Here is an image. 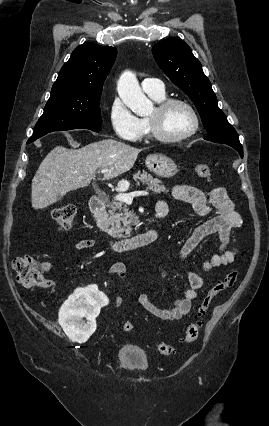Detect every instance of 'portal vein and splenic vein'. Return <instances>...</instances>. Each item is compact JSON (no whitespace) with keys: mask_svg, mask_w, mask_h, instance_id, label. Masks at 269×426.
Masks as SVG:
<instances>
[{"mask_svg":"<svg viewBox=\"0 0 269 426\" xmlns=\"http://www.w3.org/2000/svg\"><path fill=\"white\" fill-rule=\"evenodd\" d=\"M107 172L106 169H102L101 173H105ZM149 195V193L147 191H135V192H131V193H119L115 196L116 200L120 201V202H124L127 204L132 203L133 198L136 196H147Z\"/></svg>","mask_w":269,"mask_h":426,"instance_id":"18ae733b","label":"portal vein and splenic vein"}]
</instances>
